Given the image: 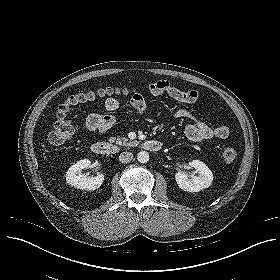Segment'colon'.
<instances>
[{
  "instance_id": "colon-1",
  "label": "colon",
  "mask_w": 280,
  "mask_h": 280,
  "mask_svg": "<svg viewBox=\"0 0 280 280\" xmlns=\"http://www.w3.org/2000/svg\"><path fill=\"white\" fill-rule=\"evenodd\" d=\"M120 93L121 91L117 88H101L96 91L86 90L69 96L58 106L56 112L57 120L49 133V144L51 146H59L72 137L73 127L69 116L75 106L90 102L97 96L104 97ZM123 93L130 94L133 97L137 92L125 90ZM221 157L225 163H231L237 158V151L233 146H226L222 150Z\"/></svg>"
}]
</instances>
